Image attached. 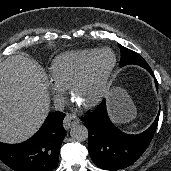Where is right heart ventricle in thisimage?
I'll return each mask as SVG.
<instances>
[{
  "label": "right heart ventricle",
  "mask_w": 171,
  "mask_h": 171,
  "mask_svg": "<svg viewBox=\"0 0 171 171\" xmlns=\"http://www.w3.org/2000/svg\"><path fill=\"white\" fill-rule=\"evenodd\" d=\"M94 52V49H84L59 55L51 66L52 81L68 88L74 76Z\"/></svg>",
  "instance_id": "e07e8e85"
}]
</instances>
